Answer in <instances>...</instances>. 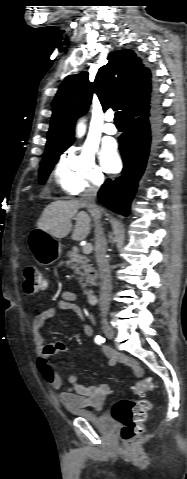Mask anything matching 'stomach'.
<instances>
[{"mask_svg":"<svg viewBox=\"0 0 187 479\" xmlns=\"http://www.w3.org/2000/svg\"><path fill=\"white\" fill-rule=\"evenodd\" d=\"M28 245L36 262L43 266L53 264L62 254L60 241L38 228L29 233Z\"/></svg>","mask_w":187,"mask_h":479,"instance_id":"0dacf381","label":"stomach"}]
</instances>
